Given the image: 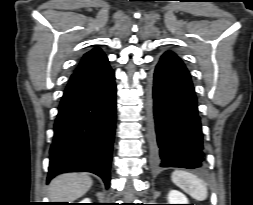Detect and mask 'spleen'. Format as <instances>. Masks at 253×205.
<instances>
[{
  "label": "spleen",
  "mask_w": 253,
  "mask_h": 205,
  "mask_svg": "<svg viewBox=\"0 0 253 205\" xmlns=\"http://www.w3.org/2000/svg\"><path fill=\"white\" fill-rule=\"evenodd\" d=\"M172 181L190 196L198 201H203L207 198V185L196 175L183 171L176 170L172 173Z\"/></svg>",
  "instance_id": "spleen-1"
}]
</instances>
